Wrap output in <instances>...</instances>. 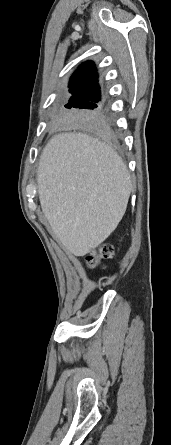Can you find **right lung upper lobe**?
<instances>
[{
    "instance_id": "1",
    "label": "right lung upper lobe",
    "mask_w": 171,
    "mask_h": 445,
    "mask_svg": "<svg viewBox=\"0 0 171 445\" xmlns=\"http://www.w3.org/2000/svg\"><path fill=\"white\" fill-rule=\"evenodd\" d=\"M69 92L72 94L100 96L98 75L92 61L82 63L72 74L69 82Z\"/></svg>"
}]
</instances>
